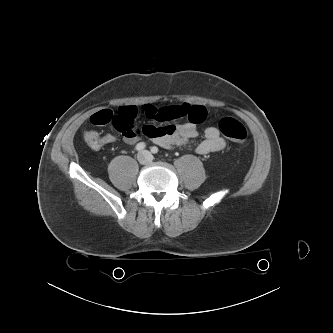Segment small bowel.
<instances>
[{
    "label": "small bowel",
    "mask_w": 333,
    "mask_h": 333,
    "mask_svg": "<svg viewBox=\"0 0 333 333\" xmlns=\"http://www.w3.org/2000/svg\"><path fill=\"white\" fill-rule=\"evenodd\" d=\"M140 111L156 124L120 131L124 141L128 144H134L145 137L167 149L186 145L198 137L197 125L204 122L207 117L205 107L187 103L161 109L152 105H143ZM93 116L94 114L90 120L94 124ZM180 119L185 120V122L176 124L175 121ZM114 140L115 136L113 135L105 136L106 144ZM225 147L226 141L221 137L219 130L216 127H208L204 131L203 139L196 147V152L200 155H206L221 151Z\"/></svg>",
    "instance_id": "obj_1"
}]
</instances>
